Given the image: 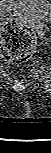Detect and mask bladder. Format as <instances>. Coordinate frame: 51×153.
Returning <instances> with one entry per match:
<instances>
[{
    "label": "bladder",
    "instance_id": "1",
    "mask_svg": "<svg viewBox=\"0 0 51 153\" xmlns=\"http://www.w3.org/2000/svg\"><path fill=\"white\" fill-rule=\"evenodd\" d=\"M0 11L6 16H17L24 21L46 22L51 17L48 0H0Z\"/></svg>",
    "mask_w": 51,
    "mask_h": 153
}]
</instances>
